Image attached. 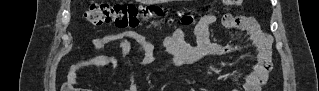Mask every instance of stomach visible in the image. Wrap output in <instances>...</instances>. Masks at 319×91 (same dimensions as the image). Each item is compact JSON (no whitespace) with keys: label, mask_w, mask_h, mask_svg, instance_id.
<instances>
[{"label":"stomach","mask_w":319,"mask_h":91,"mask_svg":"<svg viewBox=\"0 0 319 91\" xmlns=\"http://www.w3.org/2000/svg\"><path fill=\"white\" fill-rule=\"evenodd\" d=\"M163 1L164 0H142L144 4H155V3H161Z\"/></svg>","instance_id":"0dacf381"}]
</instances>
